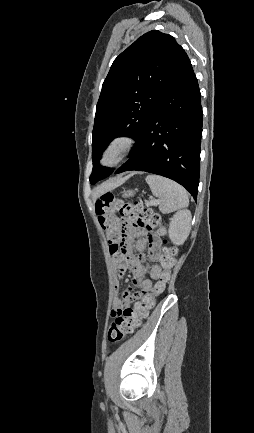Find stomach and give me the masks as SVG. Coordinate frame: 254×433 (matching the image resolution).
I'll use <instances>...</instances> for the list:
<instances>
[{"label": "stomach", "instance_id": "1", "mask_svg": "<svg viewBox=\"0 0 254 433\" xmlns=\"http://www.w3.org/2000/svg\"><path fill=\"white\" fill-rule=\"evenodd\" d=\"M134 191L133 190H127V191H125L124 193H123V196L124 197H131V196H133L134 195Z\"/></svg>", "mask_w": 254, "mask_h": 433}]
</instances>
